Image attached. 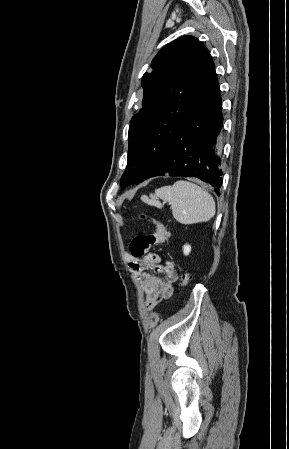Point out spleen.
<instances>
[{"label": "spleen", "instance_id": "obj_1", "mask_svg": "<svg viewBox=\"0 0 289 449\" xmlns=\"http://www.w3.org/2000/svg\"><path fill=\"white\" fill-rule=\"evenodd\" d=\"M160 198L171 205L173 217L181 224L208 222L215 215L216 206L213 197L198 185L179 180L172 186H164L142 200L148 205L162 208Z\"/></svg>", "mask_w": 289, "mask_h": 449}]
</instances>
